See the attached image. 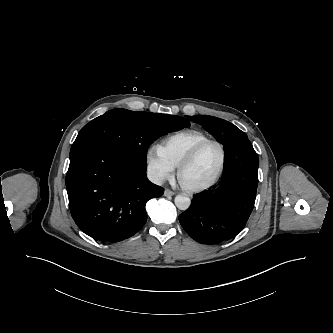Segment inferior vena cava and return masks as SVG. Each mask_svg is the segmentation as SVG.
I'll return each instance as SVG.
<instances>
[{"label":"inferior vena cava","instance_id":"obj_1","mask_svg":"<svg viewBox=\"0 0 333 333\" xmlns=\"http://www.w3.org/2000/svg\"><path fill=\"white\" fill-rule=\"evenodd\" d=\"M147 177L152 183L156 185H162L164 183V178L156 171L148 170Z\"/></svg>","mask_w":333,"mask_h":333}]
</instances>
